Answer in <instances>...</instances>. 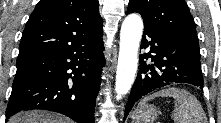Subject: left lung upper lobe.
<instances>
[{
    "mask_svg": "<svg viewBox=\"0 0 221 123\" xmlns=\"http://www.w3.org/2000/svg\"><path fill=\"white\" fill-rule=\"evenodd\" d=\"M139 13L144 25L198 45L195 23L184 0H130L127 13Z\"/></svg>",
    "mask_w": 221,
    "mask_h": 123,
    "instance_id": "obj_1",
    "label": "left lung upper lobe"
}]
</instances>
